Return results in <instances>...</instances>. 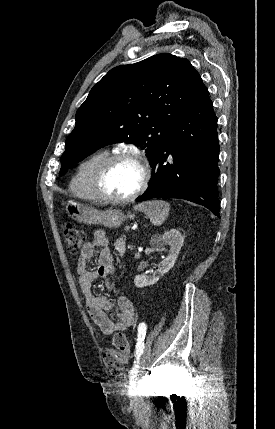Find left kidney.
I'll use <instances>...</instances> for the list:
<instances>
[{
	"label": "left kidney",
	"instance_id": "5707ae66",
	"mask_svg": "<svg viewBox=\"0 0 275 429\" xmlns=\"http://www.w3.org/2000/svg\"><path fill=\"white\" fill-rule=\"evenodd\" d=\"M183 243L184 236L176 229H171L164 234L153 235L150 244L162 251H164L165 246L168 245L169 250L167 251V256L161 262V267L157 271L150 275H136L134 278L135 286L143 288L157 283L164 274L174 267Z\"/></svg>",
	"mask_w": 275,
	"mask_h": 429
}]
</instances>
